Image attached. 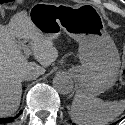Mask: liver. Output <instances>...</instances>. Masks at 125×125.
<instances>
[{
  "label": "liver",
  "instance_id": "1",
  "mask_svg": "<svg viewBox=\"0 0 125 125\" xmlns=\"http://www.w3.org/2000/svg\"><path fill=\"white\" fill-rule=\"evenodd\" d=\"M16 39L27 40L34 59L41 64L28 62ZM58 57L53 41L43 37L25 12L15 14L8 25L0 24V117L14 114L20 105L22 75L45 73Z\"/></svg>",
  "mask_w": 125,
  "mask_h": 125
}]
</instances>
